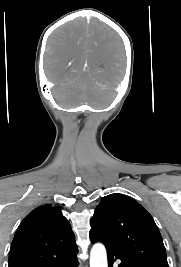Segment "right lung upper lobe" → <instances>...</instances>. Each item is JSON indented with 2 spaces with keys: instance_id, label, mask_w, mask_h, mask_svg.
Wrapping results in <instances>:
<instances>
[{
  "instance_id": "cb5924a9",
  "label": "right lung upper lobe",
  "mask_w": 181,
  "mask_h": 267,
  "mask_svg": "<svg viewBox=\"0 0 181 267\" xmlns=\"http://www.w3.org/2000/svg\"><path fill=\"white\" fill-rule=\"evenodd\" d=\"M78 250L70 223L49 204L26 216L14 236L8 267L20 263H46Z\"/></svg>"
}]
</instances>
